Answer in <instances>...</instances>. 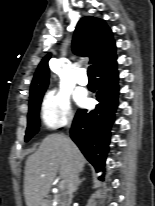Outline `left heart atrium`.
I'll return each instance as SVG.
<instances>
[{
	"label": "left heart atrium",
	"instance_id": "1",
	"mask_svg": "<svg viewBox=\"0 0 155 206\" xmlns=\"http://www.w3.org/2000/svg\"><path fill=\"white\" fill-rule=\"evenodd\" d=\"M78 101H79L80 103H84V102H85V99L80 96V97H78Z\"/></svg>",
	"mask_w": 155,
	"mask_h": 206
}]
</instances>
